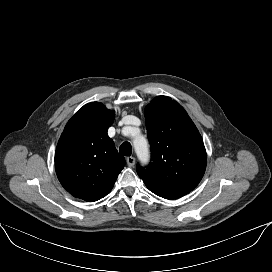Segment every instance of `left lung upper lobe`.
Here are the masks:
<instances>
[{
  "label": "left lung upper lobe",
  "mask_w": 272,
  "mask_h": 272,
  "mask_svg": "<svg viewBox=\"0 0 272 272\" xmlns=\"http://www.w3.org/2000/svg\"><path fill=\"white\" fill-rule=\"evenodd\" d=\"M145 120L151 162L146 168L137 165V173L154 194L180 198L191 192L205 173L202 137L187 112L170 97H156L145 108Z\"/></svg>",
  "instance_id": "left-lung-upper-lobe-1"
}]
</instances>
